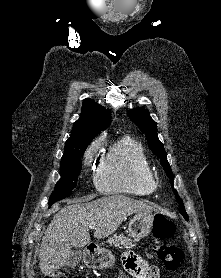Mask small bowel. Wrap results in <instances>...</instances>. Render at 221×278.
I'll list each match as a JSON object with an SVG mask.
<instances>
[{"label":"small bowel","mask_w":221,"mask_h":278,"mask_svg":"<svg viewBox=\"0 0 221 278\" xmlns=\"http://www.w3.org/2000/svg\"><path fill=\"white\" fill-rule=\"evenodd\" d=\"M152 268L147 260L128 251L123 255V270L118 278H153Z\"/></svg>","instance_id":"c3829d8e"}]
</instances>
